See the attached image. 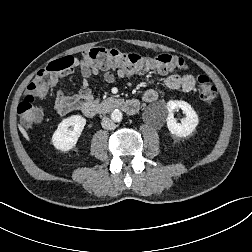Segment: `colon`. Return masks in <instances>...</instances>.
<instances>
[{"label": "colon", "mask_w": 252, "mask_h": 252, "mask_svg": "<svg viewBox=\"0 0 252 252\" xmlns=\"http://www.w3.org/2000/svg\"><path fill=\"white\" fill-rule=\"evenodd\" d=\"M83 59L89 65L100 69L120 68L127 72L180 71L186 68L185 61L177 56L161 54L154 57L141 56L133 52H122L116 48L94 47L83 53ZM73 65V58L66 56L50 62L40 70L27 86L26 94L18 106L21 123L30 127L43 118L42 107L35 104L37 98L43 97L48 88L55 84L59 77ZM197 88L200 99L208 105L215 102L217 90L204 76L197 77Z\"/></svg>", "instance_id": "obj_1"}]
</instances>
